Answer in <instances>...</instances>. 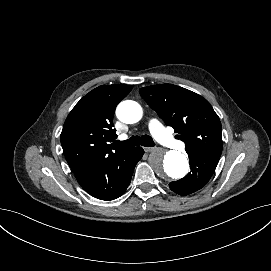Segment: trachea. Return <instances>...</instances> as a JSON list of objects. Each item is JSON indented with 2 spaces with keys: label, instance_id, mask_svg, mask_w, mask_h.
Here are the masks:
<instances>
[{
  "label": "trachea",
  "instance_id": "obj_1",
  "mask_svg": "<svg viewBox=\"0 0 271 271\" xmlns=\"http://www.w3.org/2000/svg\"><path fill=\"white\" fill-rule=\"evenodd\" d=\"M115 145L120 147H134L142 145L144 147L154 146V141L149 135L132 136L126 141H115Z\"/></svg>",
  "mask_w": 271,
  "mask_h": 271
}]
</instances>
